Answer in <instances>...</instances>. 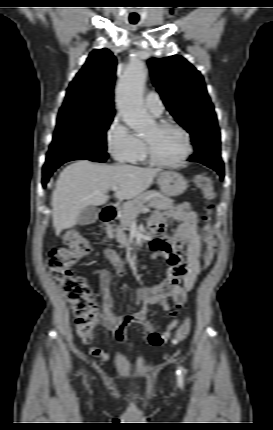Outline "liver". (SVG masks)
I'll list each match as a JSON object with an SVG mask.
<instances>
[{
    "label": "liver",
    "instance_id": "obj_1",
    "mask_svg": "<svg viewBox=\"0 0 273 430\" xmlns=\"http://www.w3.org/2000/svg\"><path fill=\"white\" fill-rule=\"evenodd\" d=\"M161 169L131 165L94 164L79 160L63 169L52 194L53 227L58 236L77 224L87 206L107 202V191L117 186L119 200H130L147 190Z\"/></svg>",
    "mask_w": 273,
    "mask_h": 430
}]
</instances>
